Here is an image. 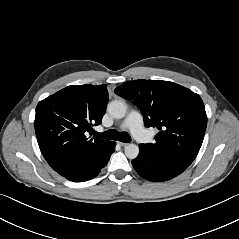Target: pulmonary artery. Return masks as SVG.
<instances>
[{
  "label": "pulmonary artery",
  "instance_id": "e3ab8cb5",
  "mask_svg": "<svg viewBox=\"0 0 239 239\" xmlns=\"http://www.w3.org/2000/svg\"><path fill=\"white\" fill-rule=\"evenodd\" d=\"M121 127L129 129L134 137L141 142L150 140V136L143 126V118L137 111L130 112L122 122Z\"/></svg>",
  "mask_w": 239,
  "mask_h": 239
}]
</instances>
